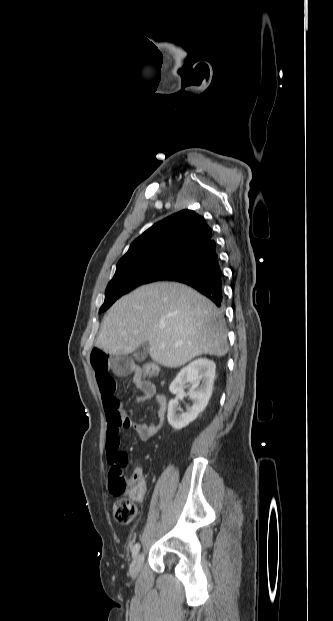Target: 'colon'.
I'll return each instance as SVG.
<instances>
[{"mask_svg":"<svg viewBox=\"0 0 333 621\" xmlns=\"http://www.w3.org/2000/svg\"><path fill=\"white\" fill-rule=\"evenodd\" d=\"M158 366L154 363H146L142 368L135 370L137 377H156ZM109 490L117 497L113 505L114 519L121 524H128L136 516L134 501L146 492V483L143 476L126 478L125 466L121 463L110 468Z\"/></svg>","mask_w":333,"mask_h":621,"instance_id":"1","label":"colon"}]
</instances>
